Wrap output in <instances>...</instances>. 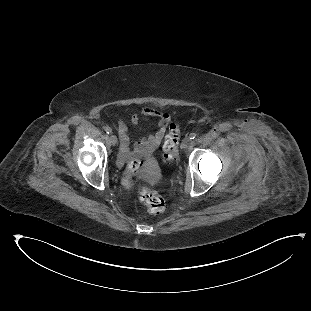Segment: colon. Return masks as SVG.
<instances>
[{
    "instance_id": "obj_1",
    "label": "colon",
    "mask_w": 311,
    "mask_h": 311,
    "mask_svg": "<svg viewBox=\"0 0 311 311\" xmlns=\"http://www.w3.org/2000/svg\"><path fill=\"white\" fill-rule=\"evenodd\" d=\"M180 138V129L177 124L171 123L165 134L163 144V160L171 164L177 156L178 142ZM143 167V160L140 157H133L128 167L122 174V182L130 188L131 174L133 170H140ZM133 169V170H132ZM138 197L147 210L154 214H159L164 210V201L162 197L146 183H141L137 189Z\"/></svg>"
}]
</instances>
